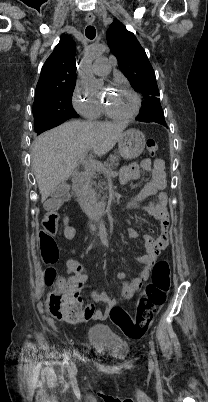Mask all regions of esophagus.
Returning a JSON list of instances; mask_svg holds the SVG:
<instances>
[{
    "label": "esophagus",
    "mask_w": 208,
    "mask_h": 402,
    "mask_svg": "<svg viewBox=\"0 0 208 402\" xmlns=\"http://www.w3.org/2000/svg\"><path fill=\"white\" fill-rule=\"evenodd\" d=\"M95 20V16L93 15V13H88L85 17V21L89 24L93 23Z\"/></svg>",
    "instance_id": "1"
}]
</instances>
